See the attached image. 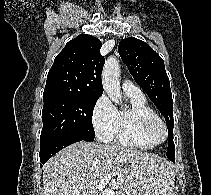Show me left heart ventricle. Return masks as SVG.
Here are the masks:
<instances>
[{"instance_id":"left-heart-ventricle-1","label":"left heart ventricle","mask_w":211,"mask_h":195,"mask_svg":"<svg viewBox=\"0 0 211 195\" xmlns=\"http://www.w3.org/2000/svg\"><path fill=\"white\" fill-rule=\"evenodd\" d=\"M156 138L160 139L162 137V130L160 127H156L154 130Z\"/></svg>"}]
</instances>
